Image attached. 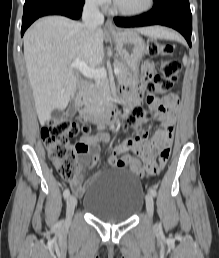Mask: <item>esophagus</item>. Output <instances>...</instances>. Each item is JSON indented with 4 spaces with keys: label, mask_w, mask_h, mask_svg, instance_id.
<instances>
[{
    "label": "esophagus",
    "mask_w": 219,
    "mask_h": 258,
    "mask_svg": "<svg viewBox=\"0 0 219 258\" xmlns=\"http://www.w3.org/2000/svg\"><path fill=\"white\" fill-rule=\"evenodd\" d=\"M105 28H106V31L110 33H115L118 31L111 19H108L106 21Z\"/></svg>",
    "instance_id": "obj_1"
}]
</instances>
